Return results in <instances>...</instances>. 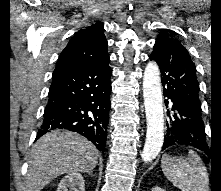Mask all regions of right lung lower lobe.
Wrapping results in <instances>:
<instances>
[{
	"mask_svg": "<svg viewBox=\"0 0 221 191\" xmlns=\"http://www.w3.org/2000/svg\"><path fill=\"white\" fill-rule=\"evenodd\" d=\"M111 75L109 61L53 74L36 140L52 129H67L85 136L104 151L111 107Z\"/></svg>",
	"mask_w": 221,
	"mask_h": 191,
	"instance_id": "obj_1",
	"label": "right lung lower lobe"
}]
</instances>
